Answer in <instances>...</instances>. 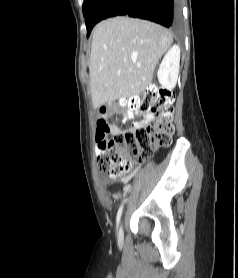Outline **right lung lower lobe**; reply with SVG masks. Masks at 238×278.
I'll return each instance as SVG.
<instances>
[{"instance_id":"1","label":"right lung lower lobe","mask_w":238,"mask_h":278,"mask_svg":"<svg viewBox=\"0 0 238 278\" xmlns=\"http://www.w3.org/2000/svg\"><path fill=\"white\" fill-rule=\"evenodd\" d=\"M117 15L150 20L167 28L181 25L179 0H96L85 16L87 37L96 23Z\"/></svg>"}]
</instances>
